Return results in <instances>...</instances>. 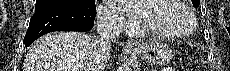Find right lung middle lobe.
I'll use <instances>...</instances> for the list:
<instances>
[{"mask_svg":"<svg viewBox=\"0 0 230 71\" xmlns=\"http://www.w3.org/2000/svg\"><path fill=\"white\" fill-rule=\"evenodd\" d=\"M43 5H69L95 11V0H37L36 7Z\"/></svg>","mask_w":230,"mask_h":71,"instance_id":"1","label":"right lung middle lobe"}]
</instances>
